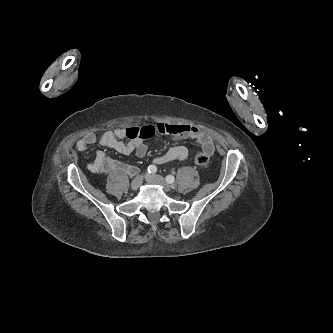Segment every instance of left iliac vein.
I'll return each mask as SVG.
<instances>
[{
	"label": "left iliac vein",
	"mask_w": 333,
	"mask_h": 333,
	"mask_svg": "<svg viewBox=\"0 0 333 333\" xmlns=\"http://www.w3.org/2000/svg\"><path fill=\"white\" fill-rule=\"evenodd\" d=\"M145 179L150 184H158L165 188V190L169 191L171 189V186L166 183L165 179L156 174H146Z\"/></svg>",
	"instance_id": "left-iliac-vein-1"
}]
</instances>
